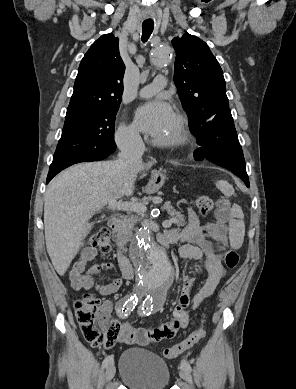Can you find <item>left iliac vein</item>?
Here are the masks:
<instances>
[{
  "mask_svg": "<svg viewBox=\"0 0 296 389\" xmlns=\"http://www.w3.org/2000/svg\"><path fill=\"white\" fill-rule=\"evenodd\" d=\"M180 377L184 381H186L188 384H190L191 386L193 385L192 376H191L190 371L188 369L181 367Z\"/></svg>",
  "mask_w": 296,
  "mask_h": 389,
  "instance_id": "obj_1",
  "label": "left iliac vein"
}]
</instances>
